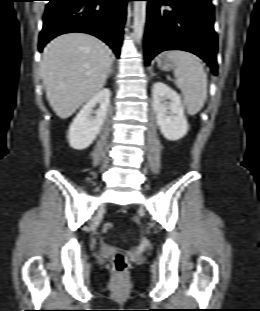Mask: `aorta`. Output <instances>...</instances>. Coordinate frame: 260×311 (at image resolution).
Listing matches in <instances>:
<instances>
[{
	"mask_svg": "<svg viewBox=\"0 0 260 311\" xmlns=\"http://www.w3.org/2000/svg\"><path fill=\"white\" fill-rule=\"evenodd\" d=\"M146 1H134V36L136 41H140L143 32H144V26L146 22Z\"/></svg>",
	"mask_w": 260,
	"mask_h": 311,
	"instance_id": "aorta-1",
	"label": "aorta"
}]
</instances>
